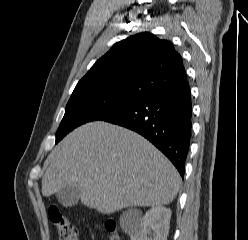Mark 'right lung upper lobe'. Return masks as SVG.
<instances>
[{
    "mask_svg": "<svg viewBox=\"0 0 248 240\" xmlns=\"http://www.w3.org/2000/svg\"><path fill=\"white\" fill-rule=\"evenodd\" d=\"M186 79L182 57L172 43L145 32L114 44L74 90L112 88L144 97Z\"/></svg>",
    "mask_w": 248,
    "mask_h": 240,
    "instance_id": "right-lung-upper-lobe-1",
    "label": "right lung upper lobe"
}]
</instances>
